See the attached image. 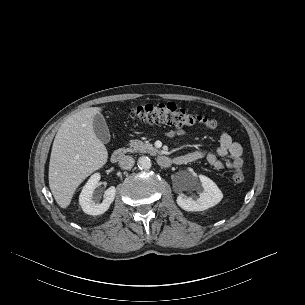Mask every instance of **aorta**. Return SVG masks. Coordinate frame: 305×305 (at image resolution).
<instances>
[{
    "label": "aorta",
    "instance_id": "aorta-1",
    "mask_svg": "<svg viewBox=\"0 0 305 305\" xmlns=\"http://www.w3.org/2000/svg\"><path fill=\"white\" fill-rule=\"evenodd\" d=\"M152 166L151 160L147 156H141L138 159V167L143 170H149Z\"/></svg>",
    "mask_w": 305,
    "mask_h": 305
}]
</instances>
